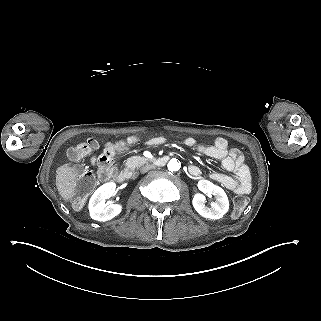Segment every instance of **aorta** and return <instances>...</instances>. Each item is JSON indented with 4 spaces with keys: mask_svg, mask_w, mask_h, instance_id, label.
Returning <instances> with one entry per match:
<instances>
[{
    "mask_svg": "<svg viewBox=\"0 0 321 321\" xmlns=\"http://www.w3.org/2000/svg\"><path fill=\"white\" fill-rule=\"evenodd\" d=\"M167 167L171 172L178 171L181 167V164L177 159L173 158L168 162Z\"/></svg>",
    "mask_w": 321,
    "mask_h": 321,
    "instance_id": "1",
    "label": "aorta"
}]
</instances>
